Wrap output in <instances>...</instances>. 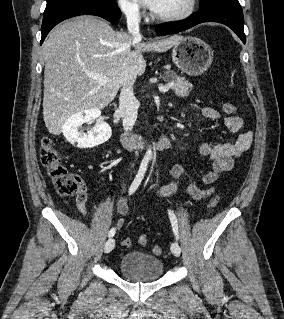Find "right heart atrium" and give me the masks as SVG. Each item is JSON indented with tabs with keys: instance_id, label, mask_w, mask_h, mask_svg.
Instances as JSON below:
<instances>
[{
	"instance_id": "d8ad5b80",
	"label": "right heart atrium",
	"mask_w": 284,
	"mask_h": 319,
	"mask_svg": "<svg viewBox=\"0 0 284 319\" xmlns=\"http://www.w3.org/2000/svg\"><path fill=\"white\" fill-rule=\"evenodd\" d=\"M118 6L128 20L137 22L142 18V10L136 0H118Z\"/></svg>"
}]
</instances>
